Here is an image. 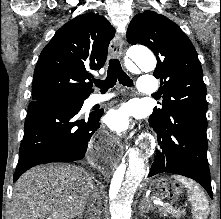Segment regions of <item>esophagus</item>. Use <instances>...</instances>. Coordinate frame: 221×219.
<instances>
[{
  "mask_svg": "<svg viewBox=\"0 0 221 219\" xmlns=\"http://www.w3.org/2000/svg\"><path fill=\"white\" fill-rule=\"evenodd\" d=\"M110 53L112 56L121 57L123 49V38L120 35H116L110 43Z\"/></svg>",
  "mask_w": 221,
  "mask_h": 219,
  "instance_id": "obj_1",
  "label": "esophagus"
}]
</instances>
